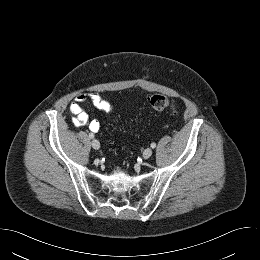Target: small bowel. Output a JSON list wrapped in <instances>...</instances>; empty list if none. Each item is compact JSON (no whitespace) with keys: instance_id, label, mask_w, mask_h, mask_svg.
Listing matches in <instances>:
<instances>
[{"instance_id":"small-bowel-1","label":"small bowel","mask_w":260,"mask_h":260,"mask_svg":"<svg viewBox=\"0 0 260 260\" xmlns=\"http://www.w3.org/2000/svg\"><path fill=\"white\" fill-rule=\"evenodd\" d=\"M85 102L92 103L96 108L110 113L114 110L113 105L103 99L97 92H88L78 94L70 103L69 109L72 114L71 122L76 127L87 126L92 132H98L100 123L97 120H90L87 113L84 111L82 104Z\"/></svg>"}]
</instances>
